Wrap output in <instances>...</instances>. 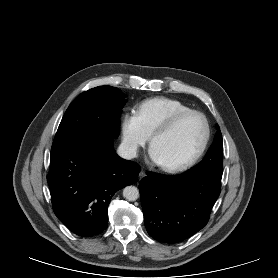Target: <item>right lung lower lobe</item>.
<instances>
[{"instance_id":"98d812e1","label":"right lung lower lobe","mask_w":278,"mask_h":278,"mask_svg":"<svg viewBox=\"0 0 278 278\" xmlns=\"http://www.w3.org/2000/svg\"><path fill=\"white\" fill-rule=\"evenodd\" d=\"M140 167L120 158L113 138H90L52 149L47 176L53 210L74 233L91 237L107 228L108 205L136 182Z\"/></svg>"}]
</instances>
